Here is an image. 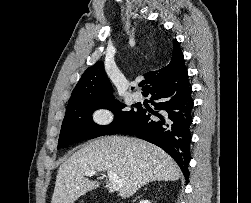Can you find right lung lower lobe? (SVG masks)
<instances>
[{
    "instance_id": "obj_1",
    "label": "right lung lower lobe",
    "mask_w": 251,
    "mask_h": 203,
    "mask_svg": "<svg viewBox=\"0 0 251 203\" xmlns=\"http://www.w3.org/2000/svg\"><path fill=\"white\" fill-rule=\"evenodd\" d=\"M188 72L181 67L144 95L157 111L140 108L136 116L116 134H131L165 150L179 165L186 181L189 178L193 100ZM155 115L156 117H153Z\"/></svg>"
}]
</instances>
